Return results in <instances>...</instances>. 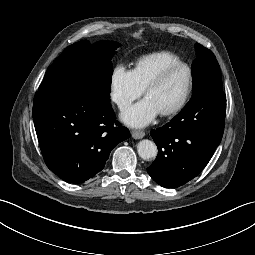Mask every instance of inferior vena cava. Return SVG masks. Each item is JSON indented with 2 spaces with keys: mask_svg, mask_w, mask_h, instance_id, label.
<instances>
[{
  "mask_svg": "<svg viewBox=\"0 0 255 255\" xmlns=\"http://www.w3.org/2000/svg\"><path fill=\"white\" fill-rule=\"evenodd\" d=\"M117 104H118V107L120 108V110H124L129 106V102H127L123 99L117 100Z\"/></svg>",
  "mask_w": 255,
  "mask_h": 255,
  "instance_id": "inferior-vena-cava-1",
  "label": "inferior vena cava"
}]
</instances>
